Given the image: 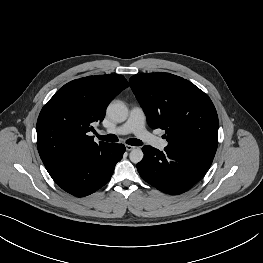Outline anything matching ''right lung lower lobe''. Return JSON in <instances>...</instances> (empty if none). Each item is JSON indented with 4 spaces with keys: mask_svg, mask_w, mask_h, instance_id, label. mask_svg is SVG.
<instances>
[{
    "mask_svg": "<svg viewBox=\"0 0 263 263\" xmlns=\"http://www.w3.org/2000/svg\"><path fill=\"white\" fill-rule=\"evenodd\" d=\"M124 152L123 144L108 143L86 153L52 178L58 186L74 196L90 195L110 180Z\"/></svg>",
    "mask_w": 263,
    "mask_h": 263,
    "instance_id": "1",
    "label": "right lung lower lobe"
}]
</instances>
